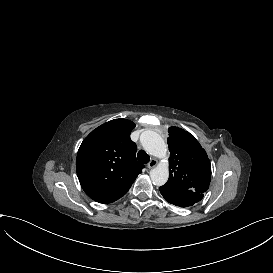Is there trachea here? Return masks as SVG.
I'll list each match as a JSON object with an SVG mask.
<instances>
[{
    "label": "trachea",
    "mask_w": 273,
    "mask_h": 273,
    "mask_svg": "<svg viewBox=\"0 0 273 273\" xmlns=\"http://www.w3.org/2000/svg\"><path fill=\"white\" fill-rule=\"evenodd\" d=\"M137 160L143 164H146L150 161V156L144 150H140L137 153Z\"/></svg>",
    "instance_id": "trachea-1"
}]
</instances>
